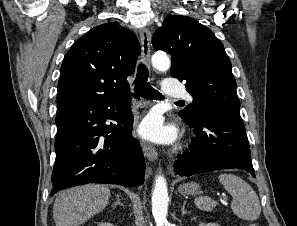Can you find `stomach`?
Segmentation results:
<instances>
[{
	"label": "stomach",
	"instance_id": "0dacf381",
	"mask_svg": "<svg viewBox=\"0 0 297 226\" xmlns=\"http://www.w3.org/2000/svg\"><path fill=\"white\" fill-rule=\"evenodd\" d=\"M179 192L185 195H197L201 193V190L197 183H187L179 187Z\"/></svg>",
	"mask_w": 297,
	"mask_h": 226
}]
</instances>
